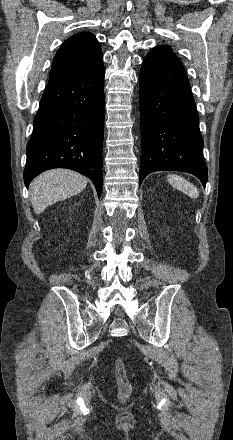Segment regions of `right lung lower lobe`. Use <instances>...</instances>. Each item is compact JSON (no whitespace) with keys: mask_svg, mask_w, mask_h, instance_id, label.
<instances>
[{"mask_svg":"<svg viewBox=\"0 0 233 440\" xmlns=\"http://www.w3.org/2000/svg\"><path fill=\"white\" fill-rule=\"evenodd\" d=\"M104 66L69 82L48 85L27 144L26 187L39 173L69 168L93 180L102 191Z\"/></svg>","mask_w":233,"mask_h":440,"instance_id":"1","label":"right lung lower lobe"}]
</instances>
